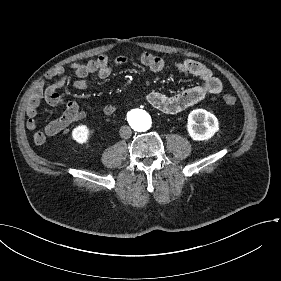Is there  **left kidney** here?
I'll return each mask as SVG.
<instances>
[{
  "label": "left kidney",
  "mask_w": 281,
  "mask_h": 281,
  "mask_svg": "<svg viewBox=\"0 0 281 281\" xmlns=\"http://www.w3.org/2000/svg\"><path fill=\"white\" fill-rule=\"evenodd\" d=\"M187 130L194 140H208L219 130L218 120L204 109H195L188 115Z\"/></svg>",
  "instance_id": "5707ae66"
}]
</instances>
